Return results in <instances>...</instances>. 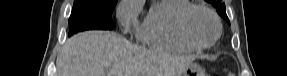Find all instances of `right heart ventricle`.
Instances as JSON below:
<instances>
[{"mask_svg": "<svg viewBox=\"0 0 287 76\" xmlns=\"http://www.w3.org/2000/svg\"><path fill=\"white\" fill-rule=\"evenodd\" d=\"M188 0H161L155 2L137 30V39L150 49L166 52H192L195 50L181 37L177 20Z\"/></svg>", "mask_w": 287, "mask_h": 76, "instance_id": "right-heart-ventricle-1", "label": "right heart ventricle"}]
</instances>
